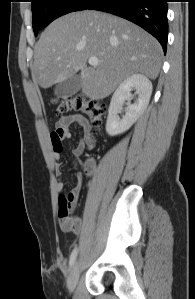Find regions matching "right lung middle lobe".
<instances>
[{"label":"right lung middle lobe","instance_id":"obj_1","mask_svg":"<svg viewBox=\"0 0 195 299\" xmlns=\"http://www.w3.org/2000/svg\"><path fill=\"white\" fill-rule=\"evenodd\" d=\"M33 30L38 31L56 18L70 12L84 10L92 0H31Z\"/></svg>","mask_w":195,"mask_h":299}]
</instances>
